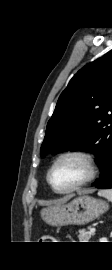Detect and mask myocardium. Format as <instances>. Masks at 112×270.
Returning <instances> with one entry per match:
<instances>
[{
	"mask_svg": "<svg viewBox=\"0 0 112 270\" xmlns=\"http://www.w3.org/2000/svg\"><path fill=\"white\" fill-rule=\"evenodd\" d=\"M66 158L80 159L85 164V166L87 168V174H86L85 178L82 179L80 182L74 184L73 186H71L67 189L59 190L53 185V183L51 181V175H52V172L55 169V167L62 160L66 159ZM98 172H99L98 163H97L95 156L92 153L84 151V150H68V151H64V152L60 153L53 160L52 164L50 165V167L47 171L46 179H47L49 186L51 187V189L55 193L65 195V194L73 193V192L87 186L91 182H93L96 179Z\"/></svg>",
	"mask_w": 112,
	"mask_h": 270,
	"instance_id": "myocardium-1",
	"label": "myocardium"
}]
</instances>
